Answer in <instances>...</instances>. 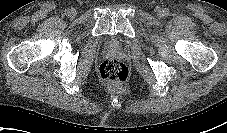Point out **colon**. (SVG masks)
<instances>
[{
  "label": "colon",
  "mask_w": 227,
  "mask_h": 133,
  "mask_svg": "<svg viewBox=\"0 0 227 133\" xmlns=\"http://www.w3.org/2000/svg\"><path fill=\"white\" fill-rule=\"evenodd\" d=\"M99 77L109 84H125L129 77V70L121 61L108 59L100 65Z\"/></svg>",
  "instance_id": "1"
}]
</instances>
